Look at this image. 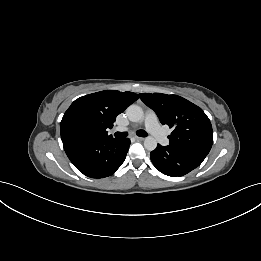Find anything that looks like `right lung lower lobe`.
I'll return each instance as SVG.
<instances>
[{
	"mask_svg": "<svg viewBox=\"0 0 261 261\" xmlns=\"http://www.w3.org/2000/svg\"><path fill=\"white\" fill-rule=\"evenodd\" d=\"M130 139H79L63 141L64 150L73 165L91 178L112 175L124 162Z\"/></svg>",
	"mask_w": 261,
	"mask_h": 261,
	"instance_id": "right-lung-lower-lobe-1",
	"label": "right lung lower lobe"
}]
</instances>
